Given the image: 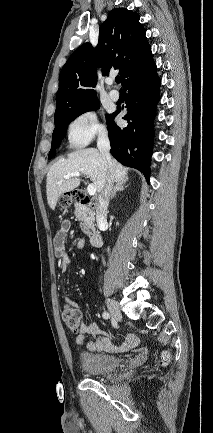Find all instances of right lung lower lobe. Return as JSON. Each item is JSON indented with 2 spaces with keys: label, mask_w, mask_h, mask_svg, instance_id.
<instances>
[{
  "label": "right lung lower lobe",
  "mask_w": 213,
  "mask_h": 433,
  "mask_svg": "<svg viewBox=\"0 0 213 433\" xmlns=\"http://www.w3.org/2000/svg\"><path fill=\"white\" fill-rule=\"evenodd\" d=\"M159 87L157 67L151 59L123 85L127 92L125 107L128 113L123 117L128 121L127 127L120 128L113 121L120 109L107 121L113 157L123 165L142 172L147 180L150 177L153 121L159 101Z\"/></svg>",
  "instance_id": "98d812e1"
}]
</instances>
